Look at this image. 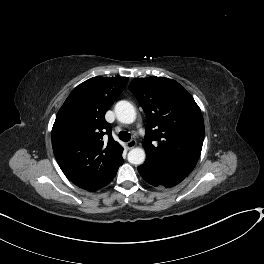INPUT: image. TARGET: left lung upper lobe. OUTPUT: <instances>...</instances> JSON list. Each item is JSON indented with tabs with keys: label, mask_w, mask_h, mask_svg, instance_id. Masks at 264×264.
<instances>
[{
	"label": "left lung upper lobe",
	"mask_w": 264,
	"mask_h": 264,
	"mask_svg": "<svg viewBox=\"0 0 264 264\" xmlns=\"http://www.w3.org/2000/svg\"><path fill=\"white\" fill-rule=\"evenodd\" d=\"M129 90L146 114V163L188 176L204 140V120L192 96L175 80L136 78Z\"/></svg>",
	"instance_id": "1"
}]
</instances>
